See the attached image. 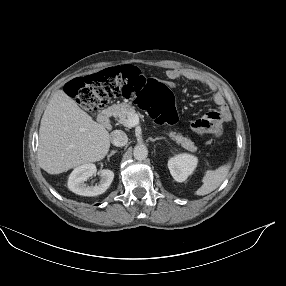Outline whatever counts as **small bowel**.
Segmentation results:
<instances>
[{
  "instance_id": "1",
  "label": "small bowel",
  "mask_w": 286,
  "mask_h": 286,
  "mask_svg": "<svg viewBox=\"0 0 286 286\" xmlns=\"http://www.w3.org/2000/svg\"><path fill=\"white\" fill-rule=\"evenodd\" d=\"M166 77L170 82L186 79L190 81H196L201 83L204 87L213 92V101L218 107V110L214 111V114H218L223 122H227L230 119V111L225 102L223 95L216 90V87L210 83L206 78L202 77L198 73L189 69L173 68L166 71Z\"/></svg>"
}]
</instances>
